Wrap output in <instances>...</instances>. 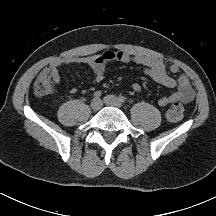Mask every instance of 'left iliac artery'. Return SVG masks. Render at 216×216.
I'll return each instance as SVG.
<instances>
[{
    "label": "left iliac artery",
    "instance_id": "44dca946",
    "mask_svg": "<svg viewBox=\"0 0 216 216\" xmlns=\"http://www.w3.org/2000/svg\"><path fill=\"white\" fill-rule=\"evenodd\" d=\"M119 100H120V102H122V103H125L126 102V98L124 97V96H119Z\"/></svg>",
    "mask_w": 216,
    "mask_h": 216
}]
</instances>
